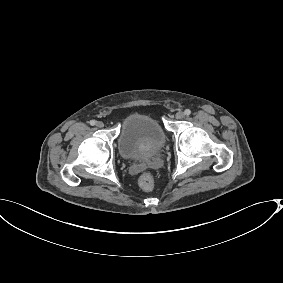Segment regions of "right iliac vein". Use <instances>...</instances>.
<instances>
[{"label": "right iliac vein", "mask_w": 283, "mask_h": 283, "mask_svg": "<svg viewBox=\"0 0 283 283\" xmlns=\"http://www.w3.org/2000/svg\"><path fill=\"white\" fill-rule=\"evenodd\" d=\"M96 126L98 128H103L104 127V123L102 121H98V122H96Z\"/></svg>", "instance_id": "63e3f726"}]
</instances>
